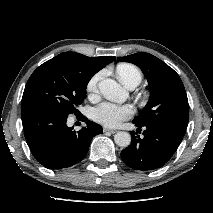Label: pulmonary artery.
Returning <instances> with one entry per match:
<instances>
[{
    "mask_svg": "<svg viewBox=\"0 0 213 213\" xmlns=\"http://www.w3.org/2000/svg\"><path fill=\"white\" fill-rule=\"evenodd\" d=\"M135 87H136V85H135V84H132V85H130L128 88L133 89V88H135Z\"/></svg>",
    "mask_w": 213,
    "mask_h": 213,
    "instance_id": "1",
    "label": "pulmonary artery"
}]
</instances>
